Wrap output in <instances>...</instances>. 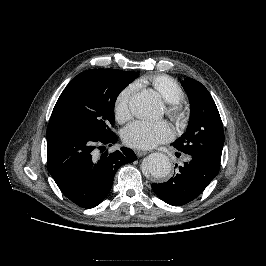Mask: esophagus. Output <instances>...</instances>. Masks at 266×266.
Listing matches in <instances>:
<instances>
[{
  "instance_id": "obj_1",
  "label": "esophagus",
  "mask_w": 266,
  "mask_h": 266,
  "mask_svg": "<svg viewBox=\"0 0 266 266\" xmlns=\"http://www.w3.org/2000/svg\"><path fill=\"white\" fill-rule=\"evenodd\" d=\"M135 153H136L137 157H142V156H145L148 152L143 151V150H136Z\"/></svg>"
}]
</instances>
